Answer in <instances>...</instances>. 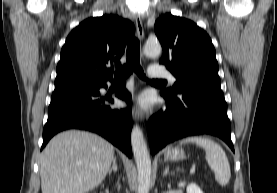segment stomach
<instances>
[{"mask_svg": "<svg viewBox=\"0 0 277 193\" xmlns=\"http://www.w3.org/2000/svg\"><path fill=\"white\" fill-rule=\"evenodd\" d=\"M185 154L181 148H169L165 153V159L178 161L184 159Z\"/></svg>", "mask_w": 277, "mask_h": 193, "instance_id": "0dacf381", "label": "stomach"}]
</instances>
